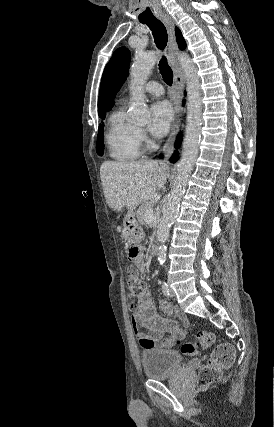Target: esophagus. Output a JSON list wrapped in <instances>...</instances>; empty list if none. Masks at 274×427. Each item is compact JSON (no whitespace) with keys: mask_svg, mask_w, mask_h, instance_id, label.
<instances>
[{"mask_svg":"<svg viewBox=\"0 0 274 427\" xmlns=\"http://www.w3.org/2000/svg\"><path fill=\"white\" fill-rule=\"evenodd\" d=\"M159 18L164 23L168 32L169 64L174 73V80H173L174 90H173L172 102H173L175 113H174V120H173L170 136L164 145V159H163L164 163H168L169 156L171 155L174 149V140L179 131L181 121L183 118L182 100H183V91H184L186 79L178 63L179 51H178V46L175 39L174 23L169 15L162 14V15H159Z\"/></svg>","mask_w":274,"mask_h":427,"instance_id":"obj_1","label":"esophagus"}]
</instances>
